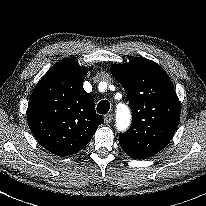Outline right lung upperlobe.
Wrapping results in <instances>:
<instances>
[{"mask_svg": "<svg viewBox=\"0 0 206 206\" xmlns=\"http://www.w3.org/2000/svg\"><path fill=\"white\" fill-rule=\"evenodd\" d=\"M87 69L66 58L38 82L28 103L27 120L37 141L48 151L69 156L83 149L104 122L94 99L83 89Z\"/></svg>", "mask_w": 206, "mask_h": 206, "instance_id": "cb5924a9", "label": "right lung upper lobe"}]
</instances>
